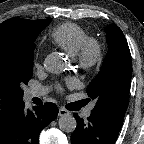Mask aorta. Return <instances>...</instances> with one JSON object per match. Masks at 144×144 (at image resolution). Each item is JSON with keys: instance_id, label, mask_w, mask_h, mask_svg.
Masks as SVG:
<instances>
[{"instance_id": "762f6f07", "label": "aorta", "mask_w": 144, "mask_h": 144, "mask_svg": "<svg viewBox=\"0 0 144 144\" xmlns=\"http://www.w3.org/2000/svg\"><path fill=\"white\" fill-rule=\"evenodd\" d=\"M44 68L46 71L54 74L64 71L65 62L63 57L58 52L50 53L44 60ZM58 125L63 132L71 133L76 129L77 122L72 115L65 114L60 117Z\"/></svg>"}]
</instances>
